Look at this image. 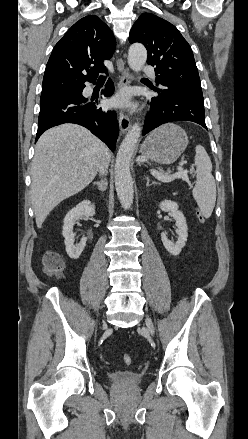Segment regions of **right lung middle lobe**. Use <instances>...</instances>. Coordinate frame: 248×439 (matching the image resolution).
I'll return each instance as SVG.
<instances>
[{
    "instance_id": "right-lung-middle-lobe-1",
    "label": "right lung middle lobe",
    "mask_w": 248,
    "mask_h": 439,
    "mask_svg": "<svg viewBox=\"0 0 248 439\" xmlns=\"http://www.w3.org/2000/svg\"><path fill=\"white\" fill-rule=\"evenodd\" d=\"M68 93H70V92H68ZM68 93H64V94H60V95H55V96H45V97H41V99H40V105L45 104V103H47V102H49V101H51V100H54V99H56V98H58V97H60V96L66 95V94H68Z\"/></svg>"
}]
</instances>
